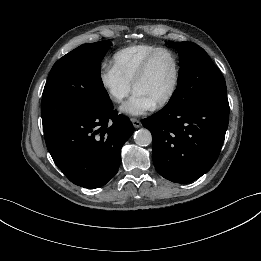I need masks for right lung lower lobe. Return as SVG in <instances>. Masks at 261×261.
Listing matches in <instances>:
<instances>
[{"instance_id":"98d812e1","label":"right lung lower lobe","mask_w":261,"mask_h":261,"mask_svg":"<svg viewBox=\"0 0 261 261\" xmlns=\"http://www.w3.org/2000/svg\"><path fill=\"white\" fill-rule=\"evenodd\" d=\"M133 133L130 120L113 110L70 119L44 133L55 164L76 185L98 188L117 173L120 151Z\"/></svg>"}]
</instances>
